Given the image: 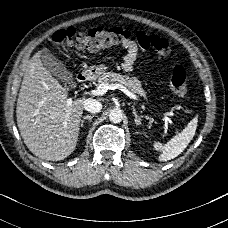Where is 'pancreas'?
I'll list each match as a JSON object with an SVG mask.
<instances>
[{"mask_svg": "<svg viewBox=\"0 0 228 228\" xmlns=\"http://www.w3.org/2000/svg\"><path fill=\"white\" fill-rule=\"evenodd\" d=\"M97 81L99 85L102 83L109 84L119 82L125 85L133 93L146 98V92L142 88L141 82L136 77H128L114 72H106L99 76Z\"/></svg>", "mask_w": 228, "mask_h": 228, "instance_id": "obj_1", "label": "pancreas"}]
</instances>
